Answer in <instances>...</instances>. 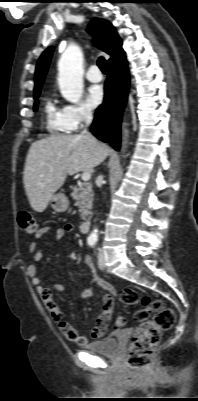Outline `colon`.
I'll list each match as a JSON object with an SVG mask.
<instances>
[{
	"label": "colon",
	"mask_w": 198,
	"mask_h": 401,
	"mask_svg": "<svg viewBox=\"0 0 198 401\" xmlns=\"http://www.w3.org/2000/svg\"><path fill=\"white\" fill-rule=\"evenodd\" d=\"M20 229L34 235L38 231V224L34 216L27 211H20L17 215ZM120 300L126 305L141 302L144 308L136 311L135 320L139 323L128 348L127 365L133 371L145 368L151 361L155 349L164 330L170 329L175 322V312L166 307L160 300H151L142 296L138 291L126 288L120 291ZM153 313L150 319V314ZM126 325L123 316L116 317L114 326L122 328Z\"/></svg>",
	"instance_id": "colon-1"
}]
</instances>
